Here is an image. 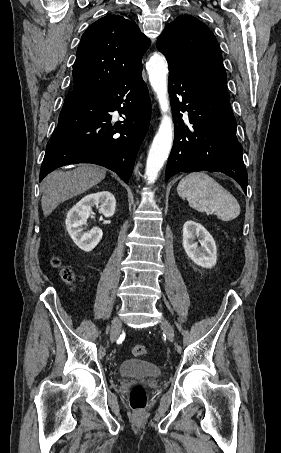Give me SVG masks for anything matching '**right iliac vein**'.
<instances>
[{
    "mask_svg": "<svg viewBox=\"0 0 281 453\" xmlns=\"http://www.w3.org/2000/svg\"><path fill=\"white\" fill-rule=\"evenodd\" d=\"M112 326H113V329L111 331L112 332L111 338L113 340H116L118 338L119 332L122 330V325H121L120 319L118 317L113 320Z\"/></svg>",
    "mask_w": 281,
    "mask_h": 453,
    "instance_id": "obj_1",
    "label": "right iliac vein"
}]
</instances>
